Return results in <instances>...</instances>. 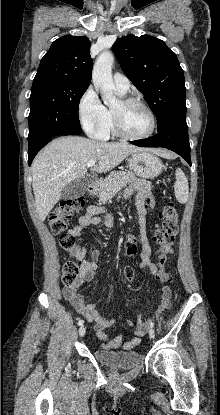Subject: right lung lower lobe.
Returning a JSON list of instances; mask_svg holds the SVG:
<instances>
[{
	"label": "right lung lower lobe",
	"mask_w": 220,
	"mask_h": 415,
	"mask_svg": "<svg viewBox=\"0 0 220 415\" xmlns=\"http://www.w3.org/2000/svg\"><path fill=\"white\" fill-rule=\"evenodd\" d=\"M82 129H80L79 131H77L75 134H79L81 133ZM52 140V138H48L45 141H43L42 143H40L35 149L28 151V164L31 165L34 157L36 156V154L50 141Z\"/></svg>",
	"instance_id": "98d812e1"
}]
</instances>
